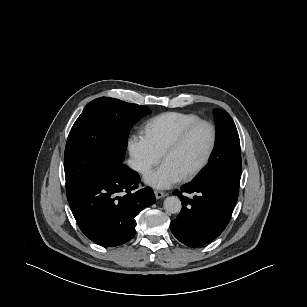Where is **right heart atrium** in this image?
I'll return each mask as SVG.
<instances>
[{
  "label": "right heart atrium",
  "instance_id": "d8ad5b80",
  "mask_svg": "<svg viewBox=\"0 0 307 307\" xmlns=\"http://www.w3.org/2000/svg\"><path fill=\"white\" fill-rule=\"evenodd\" d=\"M128 150L133 168L144 174L157 165L162 155L154 149L146 136L133 135L128 142Z\"/></svg>",
  "mask_w": 307,
  "mask_h": 307
}]
</instances>
